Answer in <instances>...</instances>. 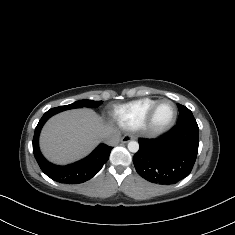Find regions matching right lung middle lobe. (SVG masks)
I'll return each mask as SVG.
<instances>
[{
    "instance_id": "right-lung-middle-lobe-1",
    "label": "right lung middle lobe",
    "mask_w": 235,
    "mask_h": 235,
    "mask_svg": "<svg viewBox=\"0 0 235 235\" xmlns=\"http://www.w3.org/2000/svg\"><path fill=\"white\" fill-rule=\"evenodd\" d=\"M101 104H102V101L79 100V101L74 102L73 104L52 108V111H54L55 113H59L64 110L80 108V107L96 108Z\"/></svg>"
}]
</instances>
